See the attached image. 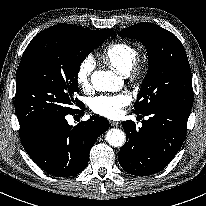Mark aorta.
I'll return each instance as SVG.
<instances>
[{
  "label": "aorta",
  "mask_w": 206,
  "mask_h": 206,
  "mask_svg": "<svg viewBox=\"0 0 206 206\" xmlns=\"http://www.w3.org/2000/svg\"><path fill=\"white\" fill-rule=\"evenodd\" d=\"M91 83L97 91L112 90L119 83V78L112 71H95L91 75ZM124 132L117 128L110 129L106 134L107 142L114 147H121L125 143Z\"/></svg>",
  "instance_id": "aorta-1"
}]
</instances>
